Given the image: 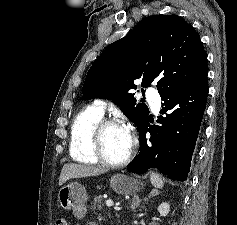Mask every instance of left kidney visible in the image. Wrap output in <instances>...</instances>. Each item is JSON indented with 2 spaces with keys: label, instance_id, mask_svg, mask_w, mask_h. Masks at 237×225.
Here are the masks:
<instances>
[{
  "label": "left kidney",
  "instance_id": "5707ae66",
  "mask_svg": "<svg viewBox=\"0 0 237 225\" xmlns=\"http://www.w3.org/2000/svg\"><path fill=\"white\" fill-rule=\"evenodd\" d=\"M170 211V205L167 202H163L162 204L159 205L158 207V212L162 216H167Z\"/></svg>",
  "mask_w": 237,
  "mask_h": 225
}]
</instances>
